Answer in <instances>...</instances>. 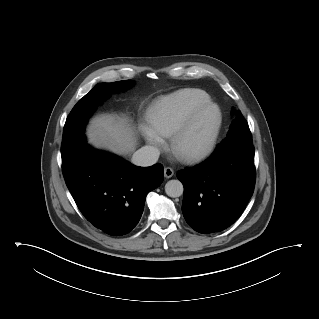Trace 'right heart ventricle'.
<instances>
[{"label":"right heart ventricle","mask_w":319,"mask_h":319,"mask_svg":"<svg viewBox=\"0 0 319 319\" xmlns=\"http://www.w3.org/2000/svg\"><path fill=\"white\" fill-rule=\"evenodd\" d=\"M211 101L203 90L186 88L156 99L147 119L150 126L161 136H173L198 106Z\"/></svg>","instance_id":"1"}]
</instances>
